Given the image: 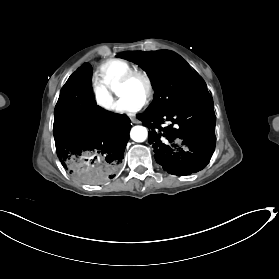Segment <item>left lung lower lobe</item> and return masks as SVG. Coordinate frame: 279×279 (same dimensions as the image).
Wrapping results in <instances>:
<instances>
[{"mask_svg": "<svg viewBox=\"0 0 279 279\" xmlns=\"http://www.w3.org/2000/svg\"><path fill=\"white\" fill-rule=\"evenodd\" d=\"M149 126V143L156 162L173 175H188L202 170L215 147L216 117L213 99L202 92L179 106L159 114L137 116ZM164 121L172 122L166 127Z\"/></svg>", "mask_w": 279, "mask_h": 279, "instance_id": "obj_1", "label": "left lung lower lobe"}]
</instances>
